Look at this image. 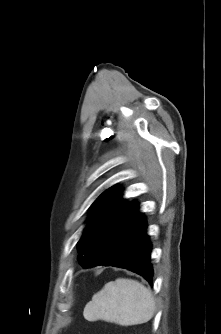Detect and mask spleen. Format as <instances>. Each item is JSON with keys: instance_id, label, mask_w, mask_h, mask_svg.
<instances>
[{"instance_id": "3e777b00", "label": "spleen", "mask_w": 221, "mask_h": 334, "mask_svg": "<svg viewBox=\"0 0 221 334\" xmlns=\"http://www.w3.org/2000/svg\"><path fill=\"white\" fill-rule=\"evenodd\" d=\"M152 292L140 282L117 278L93 295L83 315L88 321L103 320L121 326L148 322L155 312Z\"/></svg>"}]
</instances>
